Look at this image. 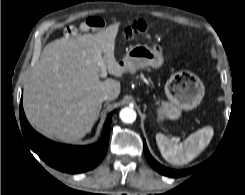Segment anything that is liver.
<instances>
[{
  "instance_id": "1",
  "label": "liver",
  "mask_w": 245,
  "mask_h": 195,
  "mask_svg": "<svg viewBox=\"0 0 245 195\" xmlns=\"http://www.w3.org/2000/svg\"><path fill=\"white\" fill-rule=\"evenodd\" d=\"M118 30L115 23L96 34L60 38L44 47L23 96L26 117L38 132L62 142H77L98 118L99 97L119 96V81L100 80L102 66L117 77L125 72L114 55Z\"/></svg>"
}]
</instances>
